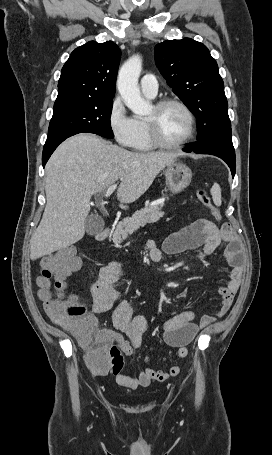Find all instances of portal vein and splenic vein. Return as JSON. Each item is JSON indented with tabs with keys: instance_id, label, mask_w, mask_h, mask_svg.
<instances>
[{
	"instance_id": "1",
	"label": "portal vein and splenic vein",
	"mask_w": 272,
	"mask_h": 455,
	"mask_svg": "<svg viewBox=\"0 0 272 455\" xmlns=\"http://www.w3.org/2000/svg\"><path fill=\"white\" fill-rule=\"evenodd\" d=\"M116 187H117L116 184H113V185L109 186L104 196H105L106 198L109 197V196L114 192V190L116 189Z\"/></svg>"
}]
</instances>
